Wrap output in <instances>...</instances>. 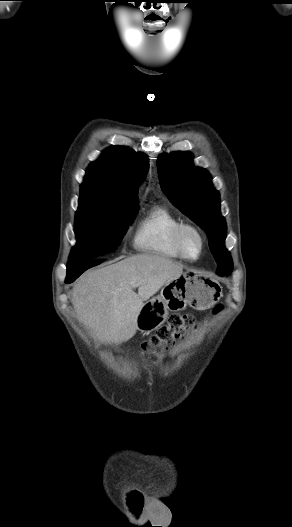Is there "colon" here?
<instances>
[{
	"mask_svg": "<svg viewBox=\"0 0 292 527\" xmlns=\"http://www.w3.org/2000/svg\"><path fill=\"white\" fill-rule=\"evenodd\" d=\"M194 326V318L190 314L172 315L168 322L161 326L143 344L144 349L166 348L177 339H182L187 335L189 329ZM136 506L139 507L141 501L136 499Z\"/></svg>",
	"mask_w": 292,
	"mask_h": 527,
	"instance_id": "1",
	"label": "colon"
}]
</instances>
